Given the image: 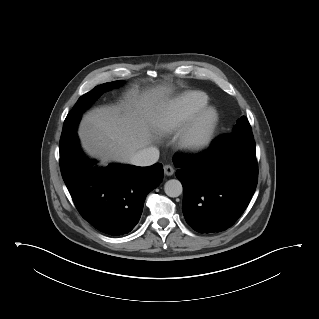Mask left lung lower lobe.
I'll return each mask as SVG.
<instances>
[{
	"instance_id": "left-lung-lower-lobe-1",
	"label": "left lung lower lobe",
	"mask_w": 319,
	"mask_h": 319,
	"mask_svg": "<svg viewBox=\"0 0 319 319\" xmlns=\"http://www.w3.org/2000/svg\"><path fill=\"white\" fill-rule=\"evenodd\" d=\"M183 214L197 232L229 228L244 212L258 180L253 138L225 135L197 157L175 156Z\"/></svg>"
}]
</instances>
